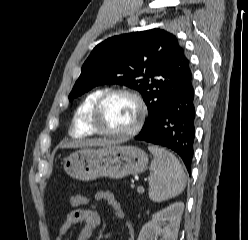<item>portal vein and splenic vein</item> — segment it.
Wrapping results in <instances>:
<instances>
[{
	"instance_id": "portal-vein-and-splenic-vein-1",
	"label": "portal vein and splenic vein",
	"mask_w": 248,
	"mask_h": 240,
	"mask_svg": "<svg viewBox=\"0 0 248 240\" xmlns=\"http://www.w3.org/2000/svg\"><path fill=\"white\" fill-rule=\"evenodd\" d=\"M137 190H138V192H144V188H143L142 186H139V187L137 188Z\"/></svg>"
}]
</instances>
